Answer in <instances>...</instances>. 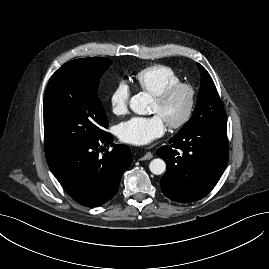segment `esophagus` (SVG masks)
Masks as SVG:
<instances>
[{"instance_id":"esophagus-1","label":"esophagus","mask_w":269,"mask_h":269,"mask_svg":"<svg viewBox=\"0 0 269 269\" xmlns=\"http://www.w3.org/2000/svg\"><path fill=\"white\" fill-rule=\"evenodd\" d=\"M152 158H153V154L151 152H147L141 157V160H150Z\"/></svg>"}]
</instances>
